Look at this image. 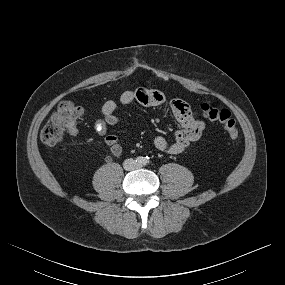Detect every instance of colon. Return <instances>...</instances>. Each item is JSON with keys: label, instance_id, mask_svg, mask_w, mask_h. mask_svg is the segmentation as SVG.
I'll return each instance as SVG.
<instances>
[{"label": "colon", "instance_id": "obj_1", "mask_svg": "<svg viewBox=\"0 0 285 285\" xmlns=\"http://www.w3.org/2000/svg\"><path fill=\"white\" fill-rule=\"evenodd\" d=\"M200 110L205 119L222 124L232 140L239 138L240 132L237 121L228 109L204 103ZM82 117L83 110L81 107L69 100L61 101L41 132L42 141L48 146L61 143L67 134L76 131Z\"/></svg>", "mask_w": 285, "mask_h": 285}]
</instances>
